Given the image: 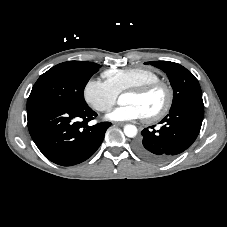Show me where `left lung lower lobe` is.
Wrapping results in <instances>:
<instances>
[{
  "instance_id": "left-lung-lower-lobe-1",
  "label": "left lung lower lobe",
  "mask_w": 227,
  "mask_h": 227,
  "mask_svg": "<svg viewBox=\"0 0 227 227\" xmlns=\"http://www.w3.org/2000/svg\"><path fill=\"white\" fill-rule=\"evenodd\" d=\"M204 116V105L186 104L169 111L160 122L142 130L134 150L142 158L156 163L166 162L189 148L197 138Z\"/></svg>"
}]
</instances>
